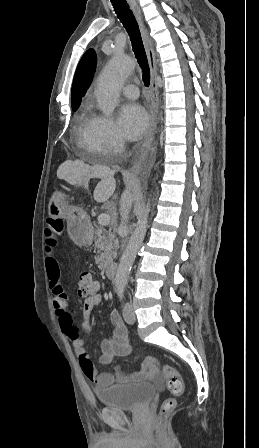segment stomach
<instances>
[{"label":"stomach","instance_id":"obj_1","mask_svg":"<svg viewBox=\"0 0 259 448\" xmlns=\"http://www.w3.org/2000/svg\"><path fill=\"white\" fill-rule=\"evenodd\" d=\"M59 192H54L49 204L48 214L51 218H60L62 210L58 206ZM64 221H67L70 238L78 246H86L93 240V232L88 218V213L84 212L82 206H65L63 209Z\"/></svg>","mask_w":259,"mask_h":448}]
</instances>
